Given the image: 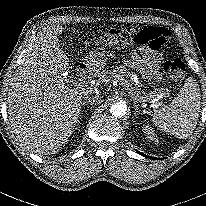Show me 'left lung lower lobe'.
<instances>
[{"label": "left lung lower lobe", "mask_w": 206, "mask_h": 206, "mask_svg": "<svg viewBox=\"0 0 206 206\" xmlns=\"http://www.w3.org/2000/svg\"><path fill=\"white\" fill-rule=\"evenodd\" d=\"M136 152H137L138 154L142 155V156L148 157L147 155H145V154H143V153H141V152H139V151H136ZM149 158L158 159V158H154V157H149Z\"/></svg>", "instance_id": "obj_1"}]
</instances>
